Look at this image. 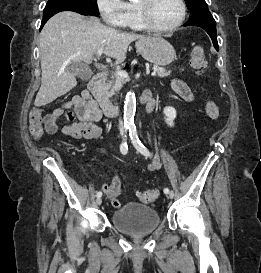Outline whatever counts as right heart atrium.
I'll return each instance as SVG.
<instances>
[{
  "mask_svg": "<svg viewBox=\"0 0 261 273\" xmlns=\"http://www.w3.org/2000/svg\"><path fill=\"white\" fill-rule=\"evenodd\" d=\"M97 6L108 25L123 27L127 16V3L124 0H97Z\"/></svg>",
  "mask_w": 261,
  "mask_h": 273,
  "instance_id": "1",
  "label": "right heart atrium"
}]
</instances>
